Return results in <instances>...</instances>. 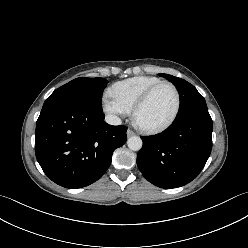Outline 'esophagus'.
<instances>
[{"mask_svg": "<svg viewBox=\"0 0 248 248\" xmlns=\"http://www.w3.org/2000/svg\"><path fill=\"white\" fill-rule=\"evenodd\" d=\"M133 135H135V132L132 131L131 129H128L127 130V136L130 137V136H133Z\"/></svg>", "mask_w": 248, "mask_h": 248, "instance_id": "obj_1", "label": "esophagus"}]
</instances>
